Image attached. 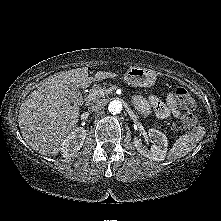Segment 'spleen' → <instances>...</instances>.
I'll list each match as a JSON object with an SVG mask.
<instances>
[{"label": "spleen", "instance_id": "1", "mask_svg": "<svg viewBox=\"0 0 221 221\" xmlns=\"http://www.w3.org/2000/svg\"><path fill=\"white\" fill-rule=\"evenodd\" d=\"M205 134L204 127H198L188 134H184L176 140L168 153L169 159H178L191 152Z\"/></svg>", "mask_w": 221, "mask_h": 221}]
</instances>
